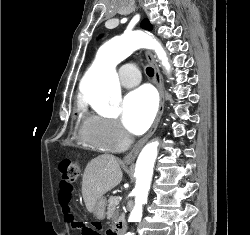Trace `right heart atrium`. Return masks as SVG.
<instances>
[{
	"mask_svg": "<svg viewBox=\"0 0 250 235\" xmlns=\"http://www.w3.org/2000/svg\"><path fill=\"white\" fill-rule=\"evenodd\" d=\"M90 135L96 143L109 151L121 150L131 141L130 135L121 124L108 116L90 117Z\"/></svg>",
	"mask_w": 250,
	"mask_h": 235,
	"instance_id": "1",
	"label": "right heart atrium"
}]
</instances>
